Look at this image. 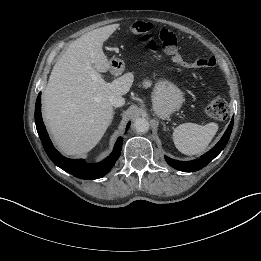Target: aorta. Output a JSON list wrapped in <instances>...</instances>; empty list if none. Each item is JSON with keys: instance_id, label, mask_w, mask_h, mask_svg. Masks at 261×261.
<instances>
[{"instance_id": "762f6f07", "label": "aorta", "mask_w": 261, "mask_h": 261, "mask_svg": "<svg viewBox=\"0 0 261 261\" xmlns=\"http://www.w3.org/2000/svg\"><path fill=\"white\" fill-rule=\"evenodd\" d=\"M133 127L136 132L145 133L149 129V122L146 118H137L133 123Z\"/></svg>"}]
</instances>
